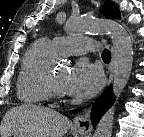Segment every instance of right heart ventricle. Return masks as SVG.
Returning a JSON list of instances; mask_svg holds the SVG:
<instances>
[{
    "label": "right heart ventricle",
    "instance_id": "e07e8e85",
    "mask_svg": "<svg viewBox=\"0 0 144 137\" xmlns=\"http://www.w3.org/2000/svg\"><path fill=\"white\" fill-rule=\"evenodd\" d=\"M58 53L46 39L35 42L26 52L17 81L18 98L25 104H44L50 100L47 78Z\"/></svg>",
    "mask_w": 144,
    "mask_h": 137
}]
</instances>
